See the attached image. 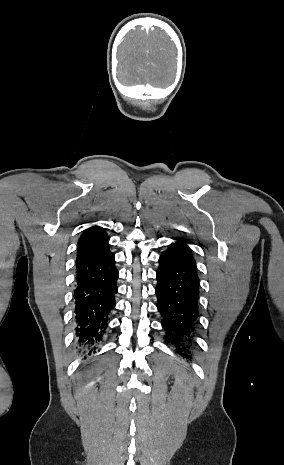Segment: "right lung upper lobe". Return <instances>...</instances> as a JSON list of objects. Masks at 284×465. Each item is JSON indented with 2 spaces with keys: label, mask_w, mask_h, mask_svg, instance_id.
<instances>
[{
  "label": "right lung upper lobe",
  "mask_w": 284,
  "mask_h": 465,
  "mask_svg": "<svg viewBox=\"0 0 284 465\" xmlns=\"http://www.w3.org/2000/svg\"><path fill=\"white\" fill-rule=\"evenodd\" d=\"M107 238L108 236L104 228L98 226L88 228L78 241L77 256H80Z\"/></svg>",
  "instance_id": "obj_1"
}]
</instances>
